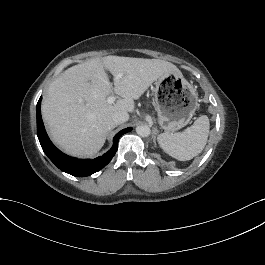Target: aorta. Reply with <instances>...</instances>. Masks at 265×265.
<instances>
[{
	"mask_svg": "<svg viewBox=\"0 0 265 265\" xmlns=\"http://www.w3.org/2000/svg\"><path fill=\"white\" fill-rule=\"evenodd\" d=\"M136 132L141 137H148L151 133V130L148 125H140L136 127Z\"/></svg>",
	"mask_w": 265,
	"mask_h": 265,
	"instance_id": "762f6f07",
	"label": "aorta"
}]
</instances>
